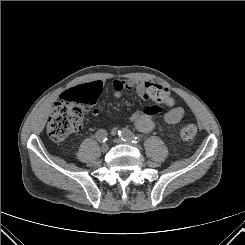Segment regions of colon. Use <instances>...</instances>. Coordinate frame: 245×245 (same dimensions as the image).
Returning a JSON list of instances; mask_svg holds the SVG:
<instances>
[{
    "instance_id": "colon-1",
    "label": "colon",
    "mask_w": 245,
    "mask_h": 245,
    "mask_svg": "<svg viewBox=\"0 0 245 245\" xmlns=\"http://www.w3.org/2000/svg\"><path fill=\"white\" fill-rule=\"evenodd\" d=\"M101 85L97 82L82 84L65 91L55 102L48 119L47 132L54 141H62L78 131L83 122V112L97 101ZM197 134V127L192 123L181 126L180 136L192 140Z\"/></svg>"
}]
</instances>
